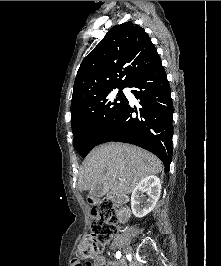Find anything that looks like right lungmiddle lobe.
<instances>
[{
    "instance_id": "right-lung-middle-lobe-1",
    "label": "right lung middle lobe",
    "mask_w": 221,
    "mask_h": 266,
    "mask_svg": "<svg viewBox=\"0 0 221 266\" xmlns=\"http://www.w3.org/2000/svg\"><path fill=\"white\" fill-rule=\"evenodd\" d=\"M115 96L113 89L93 97L86 108L72 117L73 146L84 158L95 146L99 137L118 117L127 103L122 92Z\"/></svg>"
}]
</instances>
